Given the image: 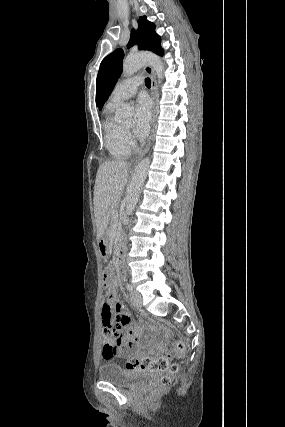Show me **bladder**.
<instances>
[{"instance_id": "1", "label": "bladder", "mask_w": 285, "mask_h": 427, "mask_svg": "<svg viewBox=\"0 0 285 427\" xmlns=\"http://www.w3.org/2000/svg\"><path fill=\"white\" fill-rule=\"evenodd\" d=\"M98 377L101 381L127 387L130 384L154 378V374L145 371L129 372L118 364L105 363L99 367Z\"/></svg>"}]
</instances>
